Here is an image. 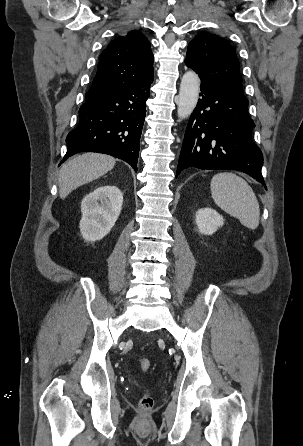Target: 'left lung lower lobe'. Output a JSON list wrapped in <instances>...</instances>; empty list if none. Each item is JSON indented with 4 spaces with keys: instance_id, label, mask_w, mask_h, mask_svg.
<instances>
[{
    "instance_id": "1",
    "label": "left lung lower lobe",
    "mask_w": 303,
    "mask_h": 446,
    "mask_svg": "<svg viewBox=\"0 0 303 446\" xmlns=\"http://www.w3.org/2000/svg\"><path fill=\"white\" fill-rule=\"evenodd\" d=\"M200 78L201 99L189 119L176 176L189 167L233 169L265 186L263 155L252 140L255 124L248 115V100L220 82Z\"/></svg>"
}]
</instances>
